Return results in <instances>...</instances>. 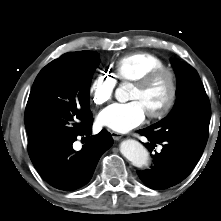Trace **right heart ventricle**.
I'll return each mask as SVG.
<instances>
[{"instance_id":"1","label":"right heart ventricle","mask_w":221,"mask_h":221,"mask_svg":"<svg viewBox=\"0 0 221 221\" xmlns=\"http://www.w3.org/2000/svg\"><path fill=\"white\" fill-rule=\"evenodd\" d=\"M165 66L159 56L148 52H135L119 58L114 64L115 76L124 82H135L144 74Z\"/></svg>"}]
</instances>
